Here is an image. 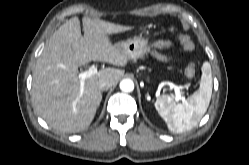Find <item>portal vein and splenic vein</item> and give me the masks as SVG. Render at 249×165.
<instances>
[{
    "mask_svg": "<svg viewBox=\"0 0 249 165\" xmlns=\"http://www.w3.org/2000/svg\"><path fill=\"white\" fill-rule=\"evenodd\" d=\"M96 73H97V67L96 66H91L87 71L79 73L78 77L80 78V85H81L80 96H82V94H83L85 79L95 75ZM173 89H174V92H175V96H174L175 100L176 101L183 100V97L181 96V93H180L181 87H179L177 85H174Z\"/></svg>",
    "mask_w": 249,
    "mask_h": 165,
    "instance_id": "18ae733b",
    "label": "portal vein and splenic vein"
}]
</instances>
